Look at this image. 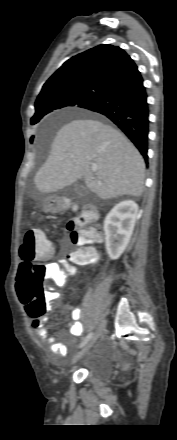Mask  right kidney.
<instances>
[{
    "label": "right kidney",
    "instance_id": "right-kidney-1",
    "mask_svg": "<svg viewBox=\"0 0 177 440\" xmlns=\"http://www.w3.org/2000/svg\"><path fill=\"white\" fill-rule=\"evenodd\" d=\"M137 218L138 205L133 200L121 201L107 214L104 220L105 246L112 260H117L125 251Z\"/></svg>",
    "mask_w": 177,
    "mask_h": 440
}]
</instances>
